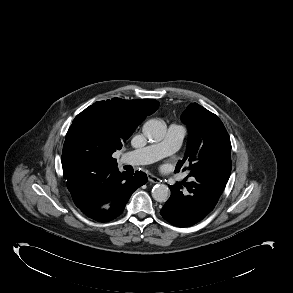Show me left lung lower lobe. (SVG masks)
<instances>
[{"mask_svg":"<svg viewBox=\"0 0 293 293\" xmlns=\"http://www.w3.org/2000/svg\"><path fill=\"white\" fill-rule=\"evenodd\" d=\"M227 181L211 176L195 175L193 181L170 186L171 196L161 209V215L179 227L194 225L215 207Z\"/></svg>","mask_w":293,"mask_h":293,"instance_id":"left-lung-lower-lobe-1","label":"left lung lower lobe"}]
</instances>
